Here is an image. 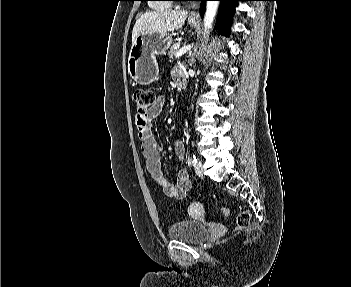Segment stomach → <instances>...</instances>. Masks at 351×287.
<instances>
[{
  "label": "stomach",
  "mask_w": 351,
  "mask_h": 287,
  "mask_svg": "<svg viewBox=\"0 0 351 287\" xmlns=\"http://www.w3.org/2000/svg\"><path fill=\"white\" fill-rule=\"evenodd\" d=\"M191 27L197 26V21L188 20ZM172 37L167 32L140 34L132 44L128 58L130 77L140 85H149L158 76L157 55H163L170 48Z\"/></svg>",
  "instance_id": "0dacf381"
}]
</instances>
